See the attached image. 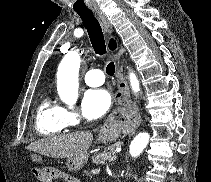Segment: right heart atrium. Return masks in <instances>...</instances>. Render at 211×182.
I'll use <instances>...</instances> for the list:
<instances>
[{
	"label": "right heart atrium",
	"mask_w": 211,
	"mask_h": 182,
	"mask_svg": "<svg viewBox=\"0 0 211 182\" xmlns=\"http://www.w3.org/2000/svg\"><path fill=\"white\" fill-rule=\"evenodd\" d=\"M64 113L69 126H75L80 122V115L78 112L64 108Z\"/></svg>",
	"instance_id": "obj_1"
}]
</instances>
